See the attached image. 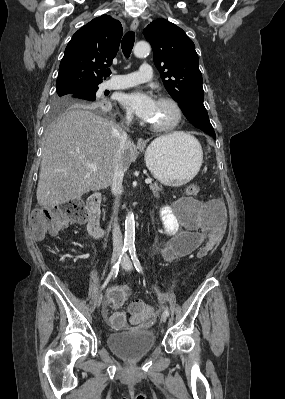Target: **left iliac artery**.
<instances>
[{
	"label": "left iliac artery",
	"mask_w": 285,
	"mask_h": 399,
	"mask_svg": "<svg viewBox=\"0 0 285 399\" xmlns=\"http://www.w3.org/2000/svg\"><path fill=\"white\" fill-rule=\"evenodd\" d=\"M129 253H130L131 259H132V261H133V263H134L135 269L137 270L138 273H142V272H143L142 266H141V264H140V262H139V260H138L135 247L129 248ZM164 313H165L167 316H169V310H168V308L164 307Z\"/></svg>",
	"instance_id": "left-iliac-artery-1"
}]
</instances>
